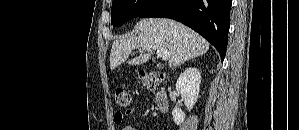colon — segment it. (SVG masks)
Listing matches in <instances>:
<instances>
[{
  "label": "colon",
  "mask_w": 299,
  "mask_h": 130,
  "mask_svg": "<svg viewBox=\"0 0 299 130\" xmlns=\"http://www.w3.org/2000/svg\"><path fill=\"white\" fill-rule=\"evenodd\" d=\"M140 78L146 87L154 89L163 81L164 76L157 72H141ZM115 101L121 108L128 107L131 101L128 91L123 88H118L115 91Z\"/></svg>",
  "instance_id": "colon-1"
}]
</instances>
